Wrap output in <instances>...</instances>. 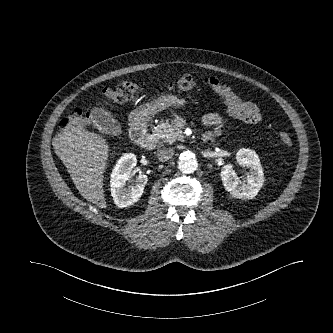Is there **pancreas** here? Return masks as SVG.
I'll list each match as a JSON object with an SVG mask.
<instances>
[{"label":"pancreas","mask_w":333,"mask_h":333,"mask_svg":"<svg viewBox=\"0 0 333 333\" xmlns=\"http://www.w3.org/2000/svg\"><path fill=\"white\" fill-rule=\"evenodd\" d=\"M153 132L156 139L162 140L164 143L172 144L184 138L182 130L173 121H169L168 119L162 120L161 124L154 128Z\"/></svg>","instance_id":"cf45deb5"}]
</instances>
